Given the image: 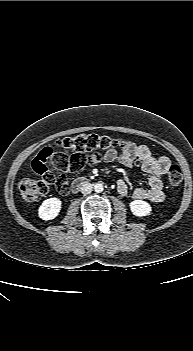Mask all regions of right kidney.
Returning <instances> with one entry per match:
<instances>
[{
	"label": "right kidney",
	"instance_id": "ca27d5eb",
	"mask_svg": "<svg viewBox=\"0 0 193 351\" xmlns=\"http://www.w3.org/2000/svg\"><path fill=\"white\" fill-rule=\"evenodd\" d=\"M62 202L59 198L53 197L42 202L38 209V215L42 220L48 221L56 218L61 210Z\"/></svg>",
	"mask_w": 193,
	"mask_h": 351
}]
</instances>
